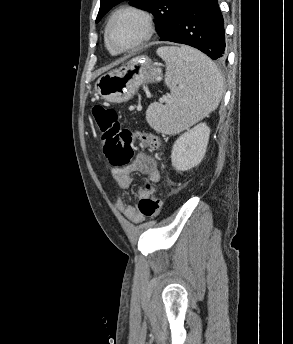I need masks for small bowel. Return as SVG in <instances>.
Instances as JSON below:
<instances>
[{
    "label": "small bowel",
    "mask_w": 293,
    "mask_h": 344,
    "mask_svg": "<svg viewBox=\"0 0 293 344\" xmlns=\"http://www.w3.org/2000/svg\"><path fill=\"white\" fill-rule=\"evenodd\" d=\"M134 172L145 174L154 183H158L161 180V173L156 161L150 155L140 152L130 165L113 170V177L121 190H127L132 185V174ZM138 196L141 200L149 196V193L141 189L138 191ZM117 209L134 223H140L145 218L136 206L127 203L123 199L117 202Z\"/></svg>",
    "instance_id": "1"
}]
</instances>
